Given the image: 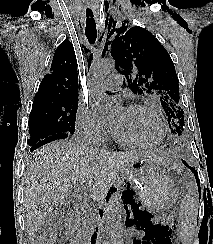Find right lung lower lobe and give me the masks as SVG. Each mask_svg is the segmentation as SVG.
<instances>
[{
    "instance_id": "1",
    "label": "right lung lower lobe",
    "mask_w": 213,
    "mask_h": 244,
    "mask_svg": "<svg viewBox=\"0 0 213 244\" xmlns=\"http://www.w3.org/2000/svg\"><path fill=\"white\" fill-rule=\"evenodd\" d=\"M69 136V134L67 133H59V134H56V135H52L50 137H47L46 139L36 143L35 145H32L31 146V149L30 151H34L36 150L37 148L47 144V143H50L52 141H55V140H60V139H65Z\"/></svg>"
}]
</instances>
